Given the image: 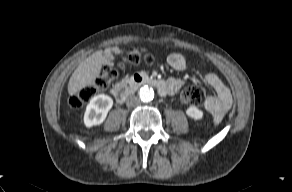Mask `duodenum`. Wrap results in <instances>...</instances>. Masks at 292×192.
I'll return each instance as SVG.
<instances>
[{
	"label": "duodenum",
	"mask_w": 292,
	"mask_h": 192,
	"mask_svg": "<svg viewBox=\"0 0 292 192\" xmlns=\"http://www.w3.org/2000/svg\"><path fill=\"white\" fill-rule=\"evenodd\" d=\"M143 85H150L162 95L167 94V83L164 80L149 77L143 74H136L133 77L123 80L113 89V94L118 102H124L134 91Z\"/></svg>",
	"instance_id": "obj_1"
}]
</instances>
